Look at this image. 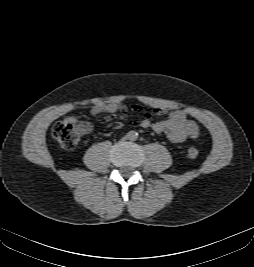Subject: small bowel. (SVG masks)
Here are the masks:
<instances>
[{
	"label": "small bowel",
	"instance_id": "small-bowel-1",
	"mask_svg": "<svg viewBox=\"0 0 254 267\" xmlns=\"http://www.w3.org/2000/svg\"><path fill=\"white\" fill-rule=\"evenodd\" d=\"M134 111H143L139 105H133ZM126 115L127 107L122 103L111 102L106 104H96L91 109L92 115H99L102 113L108 114L112 117L116 113ZM165 110L160 107H155L147 111L144 119L141 121L132 120L131 125L141 126L142 128H151L157 134H166L167 138L172 143H182L186 139H196L199 135V127L195 121L188 118L186 112L182 110H175L170 112L167 117L160 121L153 122L151 120L154 115H162Z\"/></svg>",
	"mask_w": 254,
	"mask_h": 267
}]
</instances>
